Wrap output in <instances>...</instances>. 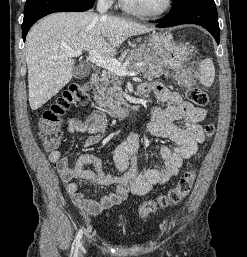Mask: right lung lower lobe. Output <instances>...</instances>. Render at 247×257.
I'll return each mask as SVG.
<instances>
[{"instance_id": "obj_1", "label": "right lung lower lobe", "mask_w": 247, "mask_h": 257, "mask_svg": "<svg viewBox=\"0 0 247 257\" xmlns=\"http://www.w3.org/2000/svg\"><path fill=\"white\" fill-rule=\"evenodd\" d=\"M95 0H27L24 8L22 37L25 41L31 26L54 12H81L90 9Z\"/></svg>"}]
</instances>
